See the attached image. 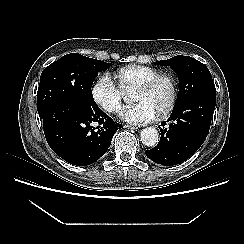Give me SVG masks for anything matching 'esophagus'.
Wrapping results in <instances>:
<instances>
[{
    "mask_svg": "<svg viewBox=\"0 0 244 244\" xmlns=\"http://www.w3.org/2000/svg\"><path fill=\"white\" fill-rule=\"evenodd\" d=\"M124 127L127 128V129H131V130H137L138 129V127L130 126V125H125Z\"/></svg>",
    "mask_w": 244,
    "mask_h": 244,
    "instance_id": "34e87169",
    "label": "esophagus"
}]
</instances>
